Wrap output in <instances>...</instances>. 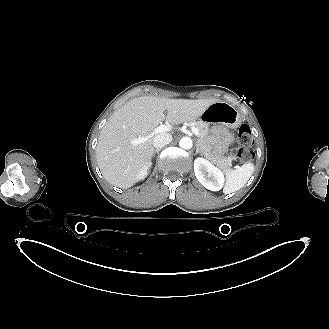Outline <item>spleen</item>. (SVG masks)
I'll return each mask as SVG.
<instances>
[{
	"label": "spleen",
	"instance_id": "3e777b00",
	"mask_svg": "<svg viewBox=\"0 0 329 329\" xmlns=\"http://www.w3.org/2000/svg\"><path fill=\"white\" fill-rule=\"evenodd\" d=\"M254 171L252 163H246L241 167L226 173V184L223 192L230 194L241 189L249 180Z\"/></svg>",
	"mask_w": 329,
	"mask_h": 329
}]
</instances>
